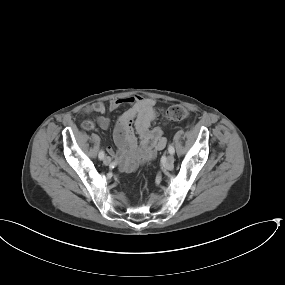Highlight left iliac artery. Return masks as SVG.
I'll return each instance as SVG.
<instances>
[{
	"instance_id": "left-iliac-artery-1",
	"label": "left iliac artery",
	"mask_w": 285,
	"mask_h": 285,
	"mask_svg": "<svg viewBox=\"0 0 285 285\" xmlns=\"http://www.w3.org/2000/svg\"><path fill=\"white\" fill-rule=\"evenodd\" d=\"M168 151L170 154H174L175 152L174 147L171 144L168 146Z\"/></svg>"
}]
</instances>
